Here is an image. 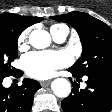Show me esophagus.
I'll use <instances>...</instances> for the list:
<instances>
[{
	"label": "esophagus",
	"mask_w": 112,
	"mask_h": 112,
	"mask_svg": "<svg viewBox=\"0 0 112 112\" xmlns=\"http://www.w3.org/2000/svg\"><path fill=\"white\" fill-rule=\"evenodd\" d=\"M50 82H51V81H49V80H48V81H41V82H40V85H41L42 87H45V86H48V85L50 84Z\"/></svg>",
	"instance_id": "1"
}]
</instances>
